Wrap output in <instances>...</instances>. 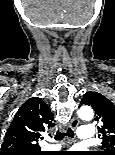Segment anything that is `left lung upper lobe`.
I'll return each instance as SVG.
<instances>
[{
  "label": "left lung upper lobe",
  "instance_id": "obj_1",
  "mask_svg": "<svg viewBox=\"0 0 115 155\" xmlns=\"http://www.w3.org/2000/svg\"><path fill=\"white\" fill-rule=\"evenodd\" d=\"M80 105H90L97 114L96 121L100 122L98 131L103 136V150L91 155H115V105L100 93L92 91L84 94Z\"/></svg>",
  "mask_w": 115,
  "mask_h": 155
}]
</instances>
